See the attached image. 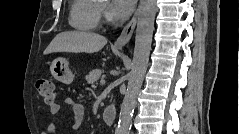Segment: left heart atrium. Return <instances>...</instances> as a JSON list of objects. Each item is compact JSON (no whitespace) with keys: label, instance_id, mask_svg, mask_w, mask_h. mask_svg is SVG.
I'll return each instance as SVG.
<instances>
[{"label":"left heart atrium","instance_id":"1","mask_svg":"<svg viewBox=\"0 0 239 134\" xmlns=\"http://www.w3.org/2000/svg\"><path fill=\"white\" fill-rule=\"evenodd\" d=\"M134 7V0H113L107 7V16L111 21L122 22L128 18Z\"/></svg>","mask_w":239,"mask_h":134}]
</instances>
